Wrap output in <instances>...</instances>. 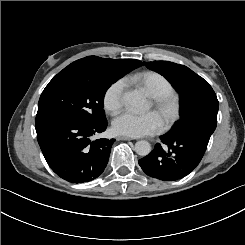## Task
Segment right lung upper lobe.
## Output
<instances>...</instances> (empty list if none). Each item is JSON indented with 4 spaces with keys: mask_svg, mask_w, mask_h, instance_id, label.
Listing matches in <instances>:
<instances>
[{
    "mask_svg": "<svg viewBox=\"0 0 245 245\" xmlns=\"http://www.w3.org/2000/svg\"><path fill=\"white\" fill-rule=\"evenodd\" d=\"M82 59L100 61V62H108V63L117 64V65L128 66V67H131L132 70L142 65L141 61L135 60V59H120L119 60V59L100 58L97 56H88Z\"/></svg>",
    "mask_w": 245,
    "mask_h": 245,
    "instance_id": "1",
    "label": "right lung upper lobe"
}]
</instances>
